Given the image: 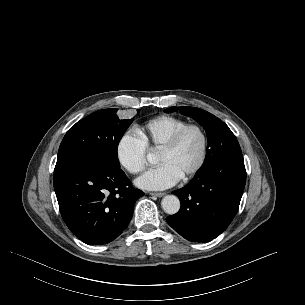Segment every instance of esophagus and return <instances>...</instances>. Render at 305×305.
<instances>
[{
	"label": "esophagus",
	"instance_id": "1",
	"mask_svg": "<svg viewBox=\"0 0 305 305\" xmlns=\"http://www.w3.org/2000/svg\"><path fill=\"white\" fill-rule=\"evenodd\" d=\"M150 195L156 196V197H163L164 195H166V193H164V192H151Z\"/></svg>",
	"mask_w": 305,
	"mask_h": 305
}]
</instances>
